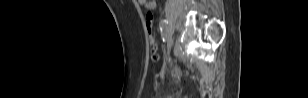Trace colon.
Masks as SVG:
<instances>
[{
    "mask_svg": "<svg viewBox=\"0 0 308 98\" xmlns=\"http://www.w3.org/2000/svg\"><path fill=\"white\" fill-rule=\"evenodd\" d=\"M146 28L149 35V40L152 48H155V35H154V28H153V13L151 11H148L146 13ZM152 59L156 60L157 56L155 53L152 54Z\"/></svg>",
    "mask_w": 308,
    "mask_h": 98,
    "instance_id": "1",
    "label": "colon"
}]
</instances>
